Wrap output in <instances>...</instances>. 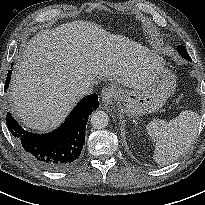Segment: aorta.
<instances>
[{
	"label": "aorta",
	"mask_w": 205,
	"mask_h": 205,
	"mask_svg": "<svg viewBox=\"0 0 205 205\" xmlns=\"http://www.w3.org/2000/svg\"><path fill=\"white\" fill-rule=\"evenodd\" d=\"M109 123V116L104 111H96L91 116V125L96 129H103Z\"/></svg>",
	"instance_id": "aorta-1"
}]
</instances>
